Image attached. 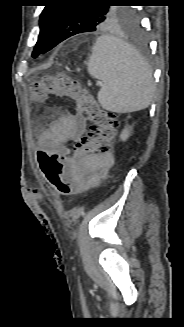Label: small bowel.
Instances as JSON below:
<instances>
[{
	"label": "small bowel",
	"instance_id": "small-bowel-1",
	"mask_svg": "<svg viewBox=\"0 0 184 327\" xmlns=\"http://www.w3.org/2000/svg\"><path fill=\"white\" fill-rule=\"evenodd\" d=\"M87 128V118L81 114L64 115L55 120L49 128L42 134L41 149L39 153H45V149H53V153H58L59 157H65L66 160H79L81 154L66 153L67 142H78L83 137ZM115 159L110 152L85 158L72 171V176L67 175L69 182L73 183L72 193L81 192L91 186L96 185L112 168ZM52 165V164H40ZM82 175V184H76L77 175ZM41 188H26L25 194L30 195L31 199H37V206H44L45 200L39 199Z\"/></svg>",
	"mask_w": 184,
	"mask_h": 327
}]
</instances>
